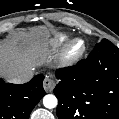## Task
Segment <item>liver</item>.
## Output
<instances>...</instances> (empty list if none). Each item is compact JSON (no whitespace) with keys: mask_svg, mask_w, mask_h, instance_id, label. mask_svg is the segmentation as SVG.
<instances>
[{"mask_svg":"<svg viewBox=\"0 0 119 119\" xmlns=\"http://www.w3.org/2000/svg\"><path fill=\"white\" fill-rule=\"evenodd\" d=\"M51 31L46 26H35L0 43V77L8 80L42 64L48 54Z\"/></svg>","mask_w":119,"mask_h":119,"instance_id":"obj_1","label":"liver"}]
</instances>
